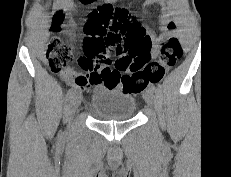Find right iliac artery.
Returning a JSON list of instances; mask_svg holds the SVG:
<instances>
[{
    "label": "right iliac artery",
    "mask_w": 231,
    "mask_h": 177,
    "mask_svg": "<svg viewBox=\"0 0 231 177\" xmlns=\"http://www.w3.org/2000/svg\"><path fill=\"white\" fill-rule=\"evenodd\" d=\"M75 90L73 88H70L68 91H67V94H66V100H69L72 95L74 94Z\"/></svg>",
    "instance_id": "82829eb1"
}]
</instances>
